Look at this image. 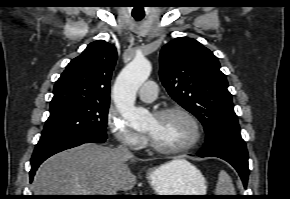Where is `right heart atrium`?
<instances>
[{"instance_id":"d8ad5b80","label":"right heart atrium","mask_w":290,"mask_h":199,"mask_svg":"<svg viewBox=\"0 0 290 199\" xmlns=\"http://www.w3.org/2000/svg\"><path fill=\"white\" fill-rule=\"evenodd\" d=\"M106 122L114 138L123 146L137 150L145 144V136L135 131L126 118L116 110L108 111Z\"/></svg>"}]
</instances>
